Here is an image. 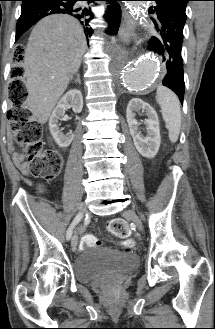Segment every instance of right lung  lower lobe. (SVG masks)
I'll use <instances>...</instances> for the list:
<instances>
[{
  "label": "right lung lower lobe",
  "instance_id": "right-lung-lower-lobe-1",
  "mask_svg": "<svg viewBox=\"0 0 215 329\" xmlns=\"http://www.w3.org/2000/svg\"><path fill=\"white\" fill-rule=\"evenodd\" d=\"M22 9L21 15L16 25V38L17 41L20 36L25 33L31 26L37 23L41 18L56 14L64 13L69 14L83 25L85 35L91 37L93 29L90 27L89 22L93 19V13L89 7L84 6L82 1H95V0H21ZM108 1L110 5L105 12L103 18L108 23V34L117 33L121 21V8L118 3L119 0H104Z\"/></svg>",
  "mask_w": 215,
  "mask_h": 329
}]
</instances>
